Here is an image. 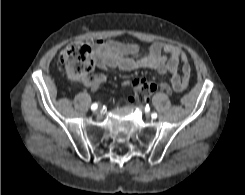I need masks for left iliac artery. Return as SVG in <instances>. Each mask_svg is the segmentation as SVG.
<instances>
[{"label":"left iliac artery","mask_w":245,"mask_h":195,"mask_svg":"<svg viewBox=\"0 0 245 195\" xmlns=\"http://www.w3.org/2000/svg\"><path fill=\"white\" fill-rule=\"evenodd\" d=\"M151 116H152L153 119H156L157 118V113H152Z\"/></svg>","instance_id":"44dca946"}]
</instances>
